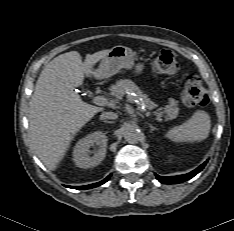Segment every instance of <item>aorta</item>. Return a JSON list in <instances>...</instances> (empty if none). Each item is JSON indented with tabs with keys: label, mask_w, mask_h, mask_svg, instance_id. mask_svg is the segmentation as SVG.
<instances>
[{
	"label": "aorta",
	"mask_w": 234,
	"mask_h": 231,
	"mask_svg": "<svg viewBox=\"0 0 234 231\" xmlns=\"http://www.w3.org/2000/svg\"><path fill=\"white\" fill-rule=\"evenodd\" d=\"M141 135V131L135 126H130L124 131V138L128 143H137Z\"/></svg>",
	"instance_id": "762f6f07"
}]
</instances>
